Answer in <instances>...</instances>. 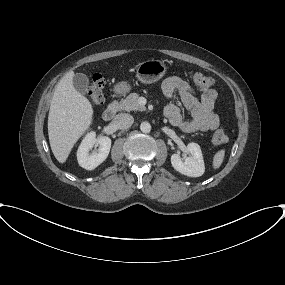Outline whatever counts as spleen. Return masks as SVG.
Returning a JSON list of instances; mask_svg holds the SVG:
<instances>
[{
	"label": "spleen",
	"instance_id": "1",
	"mask_svg": "<svg viewBox=\"0 0 285 285\" xmlns=\"http://www.w3.org/2000/svg\"><path fill=\"white\" fill-rule=\"evenodd\" d=\"M224 156H225V150L224 149H221L215 153V155L213 157V168L214 169H218L221 166V164L223 163V160H224Z\"/></svg>",
	"mask_w": 285,
	"mask_h": 285
}]
</instances>
